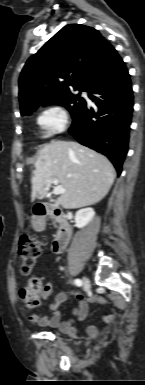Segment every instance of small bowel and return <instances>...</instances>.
<instances>
[{
	"label": "small bowel",
	"instance_id": "c3829d8e",
	"mask_svg": "<svg viewBox=\"0 0 145 385\" xmlns=\"http://www.w3.org/2000/svg\"><path fill=\"white\" fill-rule=\"evenodd\" d=\"M52 292V285L50 283L46 284L43 289L42 296L44 299H47ZM69 296H74L77 299V304L73 309V316L64 321L61 320V314L58 310V307L66 302ZM88 302L104 305L107 303V300L104 297L92 295L89 297H84L79 293L73 291H59L53 303L49 305V310L51 311L50 315H44L40 313H34L29 315L28 319L31 323L38 324L43 327L57 328L60 332L73 337L77 334V328L75 326L76 322L82 321L86 318ZM24 312L28 310L23 308ZM114 317L112 315L104 316L103 321L106 323H111ZM98 336V327L96 324H90L86 328V338L87 339H96Z\"/></svg>",
	"mask_w": 145,
	"mask_h": 385
}]
</instances>
